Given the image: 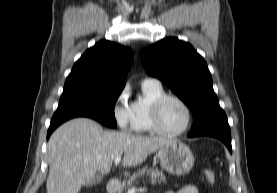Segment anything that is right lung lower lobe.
<instances>
[{
    "mask_svg": "<svg viewBox=\"0 0 277 193\" xmlns=\"http://www.w3.org/2000/svg\"><path fill=\"white\" fill-rule=\"evenodd\" d=\"M75 117H81V116H77V115H63V114H60V115H54L52 120H51V123H50V126H49V129H48V132H47V139L50 137L51 133L59 126L61 125L63 122L71 119V118H75Z\"/></svg>",
    "mask_w": 277,
    "mask_h": 193,
    "instance_id": "right-lung-lower-lobe-1",
    "label": "right lung lower lobe"
}]
</instances>
